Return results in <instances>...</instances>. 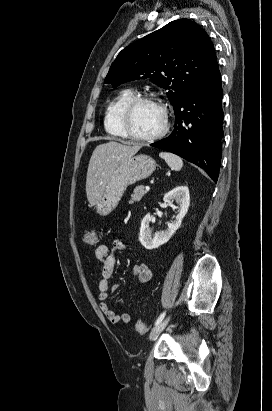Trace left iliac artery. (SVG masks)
Returning <instances> with one entry per match:
<instances>
[{
    "label": "left iliac artery",
    "mask_w": 272,
    "mask_h": 411,
    "mask_svg": "<svg viewBox=\"0 0 272 411\" xmlns=\"http://www.w3.org/2000/svg\"><path fill=\"white\" fill-rule=\"evenodd\" d=\"M165 312H163L158 318H157V320H156V322H155V326H157L160 322H162V320L164 319V317H165Z\"/></svg>",
    "instance_id": "obj_1"
}]
</instances>
